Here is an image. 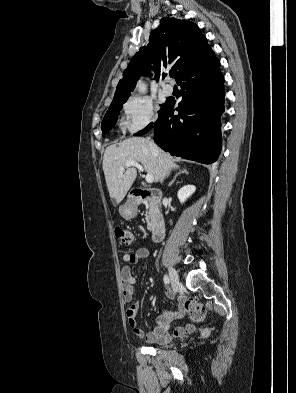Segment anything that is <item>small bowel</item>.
<instances>
[{"label":"small bowel","mask_w":296,"mask_h":393,"mask_svg":"<svg viewBox=\"0 0 296 393\" xmlns=\"http://www.w3.org/2000/svg\"><path fill=\"white\" fill-rule=\"evenodd\" d=\"M150 254V250L147 247H141L134 252L126 253L123 256L124 265L121 268V280L123 285V299L124 302L129 304L126 309V316L128 323L132 328L133 334L138 338H145L148 343L151 344H166L172 337H182L195 330V324L189 323L183 326L176 327L173 332H170L171 322L175 319L181 318L186 313L184 308L185 296L179 295L178 309L175 311H166L163 314L157 316L155 326L152 331L147 334L137 326L136 316L139 309V302H133L135 295V284L136 279L132 275L131 265L139 263L141 260L147 258ZM166 296L168 298L174 297V292L170 288L165 289Z\"/></svg>","instance_id":"obj_1"}]
</instances>
